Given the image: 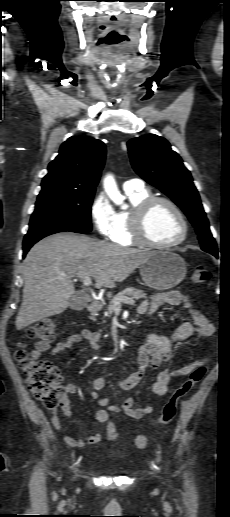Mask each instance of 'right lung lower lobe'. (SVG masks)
Here are the masks:
<instances>
[{"instance_id":"right-lung-lower-lobe-1","label":"right lung lower lobe","mask_w":230,"mask_h":517,"mask_svg":"<svg viewBox=\"0 0 230 517\" xmlns=\"http://www.w3.org/2000/svg\"><path fill=\"white\" fill-rule=\"evenodd\" d=\"M64 231L85 233L84 231L74 230V229L65 228V227H58V228L49 229V230H45V231H41V232L26 234L24 241H23V257H25V255L27 254L29 249L33 246V244H35L42 238H44L48 235L54 234V233L64 232Z\"/></svg>"}]
</instances>
